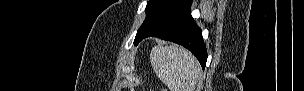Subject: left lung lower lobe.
Masks as SVG:
<instances>
[{"label": "left lung lower lobe", "instance_id": "left-lung-lower-lobe-1", "mask_svg": "<svg viewBox=\"0 0 304 91\" xmlns=\"http://www.w3.org/2000/svg\"><path fill=\"white\" fill-rule=\"evenodd\" d=\"M192 0H170L155 23L136 43L146 37L158 38L180 44L190 50L204 69L207 51L203 42L202 31L196 25L190 13Z\"/></svg>", "mask_w": 304, "mask_h": 91}]
</instances>
